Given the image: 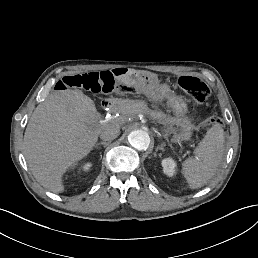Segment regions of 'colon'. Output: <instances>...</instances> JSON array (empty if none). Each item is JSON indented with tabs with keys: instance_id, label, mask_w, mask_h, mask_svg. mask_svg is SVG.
Listing matches in <instances>:
<instances>
[{
	"instance_id": "1",
	"label": "colon",
	"mask_w": 258,
	"mask_h": 258,
	"mask_svg": "<svg viewBox=\"0 0 258 258\" xmlns=\"http://www.w3.org/2000/svg\"><path fill=\"white\" fill-rule=\"evenodd\" d=\"M178 84L196 103L205 102L209 96V87L197 77L182 76L179 78ZM67 88H78L103 94H132L137 91L133 83L117 81L110 71L65 76L57 83L56 89L65 90ZM206 121L210 124L219 122L215 117H209Z\"/></svg>"
}]
</instances>
